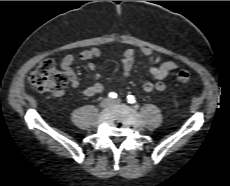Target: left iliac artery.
<instances>
[{"instance_id": "44dca946", "label": "left iliac artery", "mask_w": 230, "mask_h": 186, "mask_svg": "<svg viewBox=\"0 0 230 186\" xmlns=\"http://www.w3.org/2000/svg\"><path fill=\"white\" fill-rule=\"evenodd\" d=\"M127 102L130 104H133L136 102L135 97L133 95H128L127 96Z\"/></svg>"}]
</instances>
